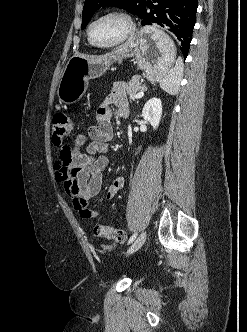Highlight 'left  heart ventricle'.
Returning a JSON list of instances; mask_svg holds the SVG:
<instances>
[{
	"mask_svg": "<svg viewBox=\"0 0 247 332\" xmlns=\"http://www.w3.org/2000/svg\"><path fill=\"white\" fill-rule=\"evenodd\" d=\"M126 30V23L110 16L98 20L91 29V38L97 44H109L118 40Z\"/></svg>",
	"mask_w": 247,
	"mask_h": 332,
	"instance_id": "left-heart-ventricle-1",
	"label": "left heart ventricle"
}]
</instances>
